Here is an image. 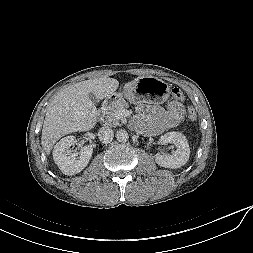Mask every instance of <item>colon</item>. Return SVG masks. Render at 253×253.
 I'll return each instance as SVG.
<instances>
[{"label": "colon", "instance_id": "obj_1", "mask_svg": "<svg viewBox=\"0 0 253 253\" xmlns=\"http://www.w3.org/2000/svg\"><path fill=\"white\" fill-rule=\"evenodd\" d=\"M172 95L178 101H182L185 98L182 90L178 87H174L172 89ZM187 116H188L189 120H191V121L196 120L197 114H196V111L194 110V108H192V107L188 108Z\"/></svg>", "mask_w": 253, "mask_h": 253}]
</instances>
